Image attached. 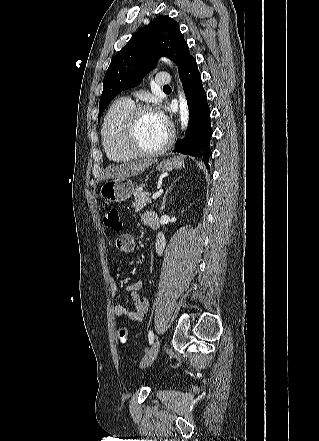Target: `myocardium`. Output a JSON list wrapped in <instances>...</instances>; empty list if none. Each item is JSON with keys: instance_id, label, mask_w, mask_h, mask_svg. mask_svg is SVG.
Instances as JSON below:
<instances>
[{"instance_id": "f54148a6", "label": "myocardium", "mask_w": 319, "mask_h": 441, "mask_svg": "<svg viewBox=\"0 0 319 441\" xmlns=\"http://www.w3.org/2000/svg\"><path fill=\"white\" fill-rule=\"evenodd\" d=\"M146 112H154V109L145 104L135 105L129 112L124 123L122 134L123 144L135 156L150 157L162 154L171 146L174 140V130L171 126H167V138L161 146L153 150L142 148L137 141L136 132L140 117Z\"/></svg>"}]
</instances>
